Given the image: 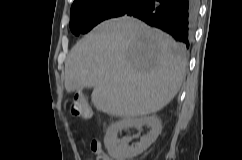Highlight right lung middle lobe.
<instances>
[{
    "label": "right lung middle lobe",
    "mask_w": 242,
    "mask_h": 160,
    "mask_svg": "<svg viewBox=\"0 0 242 160\" xmlns=\"http://www.w3.org/2000/svg\"><path fill=\"white\" fill-rule=\"evenodd\" d=\"M144 0H82L71 7L70 29L87 33L103 20L123 16Z\"/></svg>",
    "instance_id": "dd1d6c3e"
}]
</instances>
